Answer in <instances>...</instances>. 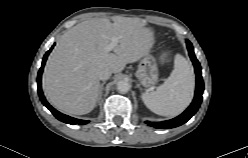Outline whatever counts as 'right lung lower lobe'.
I'll list each match as a JSON object with an SVG mask.
<instances>
[{
    "instance_id": "obj_1",
    "label": "right lung lower lobe",
    "mask_w": 248,
    "mask_h": 158,
    "mask_svg": "<svg viewBox=\"0 0 248 158\" xmlns=\"http://www.w3.org/2000/svg\"><path fill=\"white\" fill-rule=\"evenodd\" d=\"M53 48V47H52ZM52 48L44 55L43 57V62H42V66L38 72V77H37V84H38V93H39V97L42 101V103L52 112V114L60 121L64 122V123H67V124H72V125H75V124H80V125H84L86 124L88 121H85V120H79V119H76V118H73V117H70V116H67V115H64L60 112H58L57 110H55L52 106L49 105V103L46 101L44 95H43V92H42V89H41V76H42V72H43V68H44V65H45V62H46V59L49 55V53L51 52Z\"/></svg>"
}]
</instances>
